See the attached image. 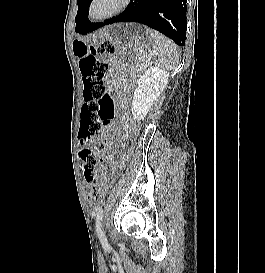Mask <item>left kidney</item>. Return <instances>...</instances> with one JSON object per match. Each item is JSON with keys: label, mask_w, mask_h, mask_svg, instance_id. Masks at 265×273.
Returning <instances> with one entry per match:
<instances>
[{"label": "left kidney", "mask_w": 265, "mask_h": 273, "mask_svg": "<svg viewBox=\"0 0 265 273\" xmlns=\"http://www.w3.org/2000/svg\"><path fill=\"white\" fill-rule=\"evenodd\" d=\"M169 72L159 67H149L138 81L134 91L131 112L134 120L140 121L165 89Z\"/></svg>", "instance_id": "left-kidney-1"}]
</instances>
